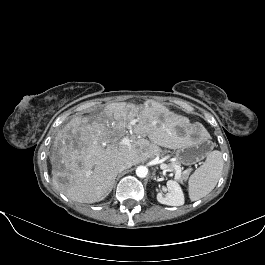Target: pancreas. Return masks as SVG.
<instances>
[{"mask_svg":"<svg viewBox=\"0 0 265 265\" xmlns=\"http://www.w3.org/2000/svg\"><path fill=\"white\" fill-rule=\"evenodd\" d=\"M169 165H170V166H169L168 170H170V171H174V172H176V169H175L174 166H179V167H180V164H179L178 162H173V163H171V164H169ZM180 169H181V168H180ZM188 175H189V172H188V171H184V172L181 173V176H180L179 178H177V179H178L179 181L186 180L187 177H188Z\"/></svg>","mask_w":265,"mask_h":265,"instance_id":"obj_1","label":"pancreas"}]
</instances>
